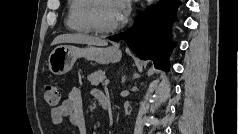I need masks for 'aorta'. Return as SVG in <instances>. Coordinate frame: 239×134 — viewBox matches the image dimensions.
Instances as JSON below:
<instances>
[{
    "label": "aorta",
    "mask_w": 239,
    "mask_h": 134,
    "mask_svg": "<svg viewBox=\"0 0 239 134\" xmlns=\"http://www.w3.org/2000/svg\"><path fill=\"white\" fill-rule=\"evenodd\" d=\"M147 5L150 6L153 3V0H147Z\"/></svg>",
    "instance_id": "1"
}]
</instances>
